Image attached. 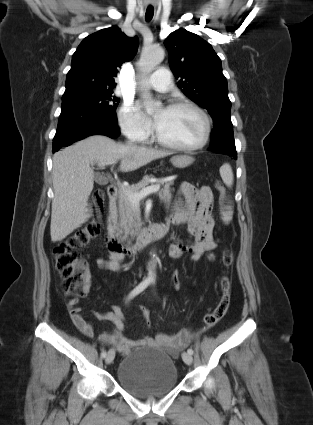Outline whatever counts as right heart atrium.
Masks as SVG:
<instances>
[{
    "label": "right heart atrium",
    "instance_id": "1",
    "mask_svg": "<svg viewBox=\"0 0 313 425\" xmlns=\"http://www.w3.org/2000/svg\"><path fill=\"white\" fill-rule=\"evenodd\" d=\"M118 121L124 135L136 142H144L149 137V128L138 109L131 101H125L118 113Z\"/></svg>",
    "mask_w": 313,
    "mask_h": 425
}]
</instances>
